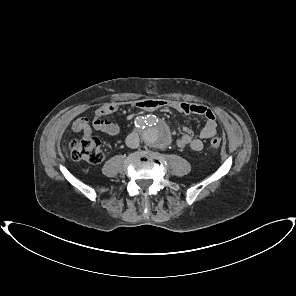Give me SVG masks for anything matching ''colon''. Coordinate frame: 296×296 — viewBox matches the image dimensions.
I'll return each instance as SVG.
<instances>
[{"label":"colon","mask_w":296,"mask_h":296,"mask_svg":"<svg viewBox=\"0 0 296 296\" xmlns=\"http://www.w3.org/2000/svg\"><path fill=\"white\" fill-rule=\"evenodd\" d=\"M220 146V138L214 137L210 140V147L212 149H219ZM69 150L72 159L75 161L98 164L105 158V152L100 140L91 134H84L79 138L73 139L69 144Z\"/></svg>","instance_id":"1"}]
</instances>
